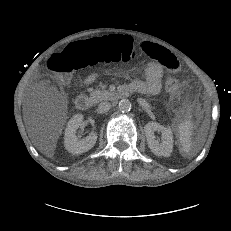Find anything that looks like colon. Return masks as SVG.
I'll use <instances>...</instances> for the list:
<instances>
[{"label": "colon", "mask_w": 231, "mask_h": 231, "mask_svg": "<svg viewBox=\"0 0 231 231\" xmlns=\"http://www.w3.org/2000/svg\"><path fill=\"white\" fill-rule=\"evenodd\" d=\"M135 58L133 39L125 35H112L69 45L63 53L50 59L49 68L58 75L62 84H68L71 74L78 68L99 62L126 63ZM165 87L168 92L176 93L179 82L174 76H168Z\"/></svg>", "instance_id": "obj_1"}]
</instances>
